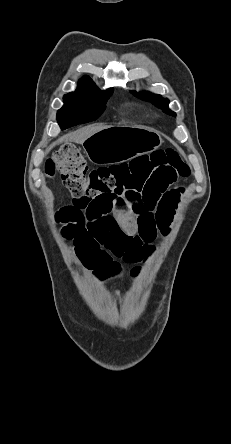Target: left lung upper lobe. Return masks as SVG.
Instances as JSON below:
<instances>
[{
	"label": "left lung upper lobe",
	"mask_w": 231,
	"mask_h": 444,
	"mask_svg": "<svg viewBox=\"0 0 231 444\" xmlns=\"http://www.w3.org/2000/svg\"><path fill=\"white\" fill-rule=\"evenodd\" d=\"M135 96L141 98L142 100L152 102L154 105L161 108L164 112L171 115H176L173 111L168 108L169 100L162 98L161 95L152 94L151 92H133Z\"/></svg>",
	"instance_id": "1"
}]
</instances>
